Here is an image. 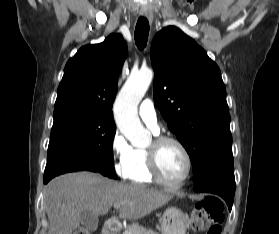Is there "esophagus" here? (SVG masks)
I'll return each instance as SVG.
<instances>
[{"instance_id": "34e87169", "label": "esophagus", "mask_w": 279, "mask_h": 234, "mask_svg": "<svg viewBox=\"0 0 279 234\" xmlns=\"http://www.w3.org/2000/svg\"><path fill=\"white\" fill-rule=\"evenodd\" d=\"M140 14L147 18L148 21L151 23L153 21V14L151 12H148V11H141Z\"/></svg>"}]
</instances>
